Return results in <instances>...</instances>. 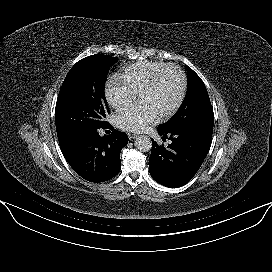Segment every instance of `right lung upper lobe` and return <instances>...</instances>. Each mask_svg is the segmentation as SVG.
<instances>
[{
	"instance_id": "1",
	"label": "right lung upper lobe",
	"mask_w": 272,
	"mask_h": 272,
	"mask_svg": "<svg viewBox=\"0 0 272 272\" xmlns=\"http://www.w3.org/2000/svg\"><path fill=\"white\" fill-rule=\"evenodd\" d=\"M61 151L64 152L75 140V138H58Z\"/></svg>"
}]
</instances>
